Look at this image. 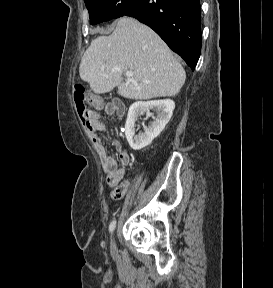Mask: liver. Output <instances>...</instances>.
I'll list each match as a JSON object with an SVG mask.
<instances>
[{
  "instance_id": "6515ba94",
  "label": "liver",
  "mask_w": 273,
  "mask_h": 288,
  "mask_svg": "<svg viewBox=\"0 0 273 288\" xmlns=\"http://www.w3.org/2000/svg\"><path fill=\"white\" fill-rule=\"evenodd\" d=\"M126 71L134 73L133 82L123 81ZM79 73L94 93L118 87L121 96L133 100L173 97L186 79L166 43L151 28L129 17L120 18L111 35L91 42Z\"/></svg>"
}]
</instances>
